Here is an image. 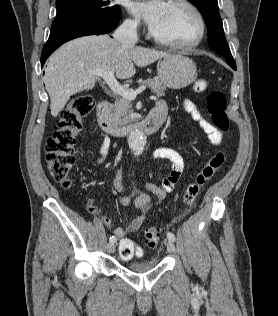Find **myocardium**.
Returning a JSON list of instances; mask_svg holds the SVG:
<instances>
[{"instance_id": "f54148a6", "label": "myocardium", "mask_w": 278, "mask_h": 316, "mask_svg": "<svg viewBox=\"0 0 278 316\" xmlns=\"http://www.w3.org/2000/svg\"><path fill=\"white\" fill-rule=\"evenodd\" d=\"M169 3L173 5L182 6L186 8L193 15L197 24L196 35L192 40L188 42L176 43V42L163 40L157 37L152 31H150L149 36L151 40L160 46L171 48V49H176V50L194 49L202 42L205 35V30H206L205 21L200 10L189 0H170Z\"/></svg>"}]
</instances>
